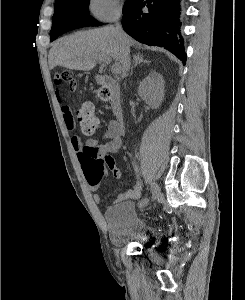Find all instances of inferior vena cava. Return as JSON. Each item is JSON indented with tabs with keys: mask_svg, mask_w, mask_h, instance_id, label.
I'll return each mask as SVG.
<instances>
[{
	"mask_svg": "<svg viewBox=\"0 0 245 300\" xmlns=\"http://www.w3.org/2000/svg\"><path fill=\"white\" fill-rule=\"evenodd\" d=\"M115 29H116L119 37L123 38L124 33H123L122 29H121V26H120V24L118 22V19L116 20V27H115ZM123 66H124L125 72H127L128 69H129V67H130V59H129V51L128 50L125 51V59H124Z\"/></svg>",
	"mask_w": 245,
	"mask_h": 300,
	"instance_id": "602c4592",
	"label": "inferior vena cava"
}]
</instances>
